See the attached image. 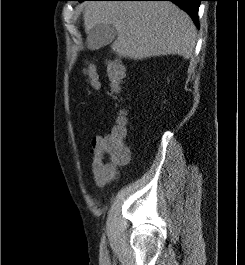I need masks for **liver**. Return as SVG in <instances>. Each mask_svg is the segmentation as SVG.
Here are the masks:
<instances>
[{
	"instance_id": "1",
	"label": "liver",
	"mask_w": 245,
	"mask_h": 265,
	"mask_svg": "<svg viewBox=\"0 0 245 265\" xmlns=\"http://www.w3.org/2000/svg\"><path fill=\"white\" fill-rule=\"evenodd\" d=\"M83 19L86 32L97 24L113 25L118 37L112 50L130 59L171 54L187 59L196 44L192 19L172 2L90 1Z\"/></svg>"
}]
</instances>
